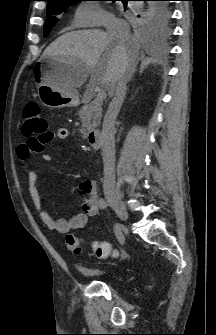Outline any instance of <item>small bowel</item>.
Instances as JSON below:
<instances>
[{"label": "small bowel", "instance_id": "1", "mask_svg": "<svg viewBox=\"0 0 216 335\" xmlns=\"http://www.w3.org/2000/svg\"><path fill=\"white\" fill-rule=\"evenodd\" d=\"M70 137L69 130L67 128H60L55 133H51L50 138L46 141L49 142L53 139L64 140ZM33 151L28 144L19 145L17 148V155L19 159L26 163L29 161ZM43 160L50 162L52 156L50 154H44ZM27 182L28 192L33 203L34 208L38 212L40 220L51 230H54L61 234H67L71 230L83 229L87 226L89 218L95 217L99 213V200L98 191L95 183L92 180L86 179L80 184V193L86 195L82 201L83 211L73 215L70 218H59L54 219L52 215L43 208V202L40 191L38 189V174L34 170L27 171ZM109 248L110 243L104 242Z\"/></svg>", "mask_w": 216, "mask_h": 335}]
</instances>
